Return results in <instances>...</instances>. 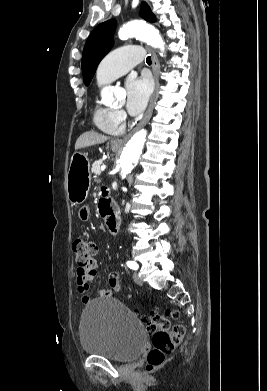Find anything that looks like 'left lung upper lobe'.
<instances>
[{
  "mask_svg": "<svg viewBox=\"0 0 267 391\" xmlns=\"http://www.w3.org/2000/svg\"><path fill=\"white\" fill-rule=\"evenodd\" d=\"M140 15L149 22L156 20L145 2L141 5ZM115 29L116 21L112 19L99 24L88 37L82 56V74L85 85L91 82L99 62L112 48Z\"/></svg>",
  "mask_w": 267,
  "mask_h": 391,
  "instance_id": "5c2ea615",
  "label": "left lung upper lobe"
}]
</instances>
